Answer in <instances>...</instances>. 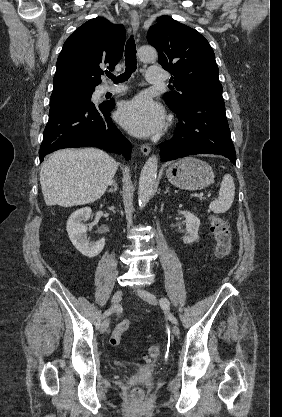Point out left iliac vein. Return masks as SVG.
Segmentation results:
<instances>
[{
	"label": "left iliac vein",
	"mask_w": 282,
	"mask_h": 417,
	"mask_svg": "<svg viewBox=\"0 0 282 417\" xmlns=\"http://www.w3.org/2000/svg\"><path fill=\"white\" fill-rule=\"evenodd\" d=\"M138 296L140 298H142L144 301L148 302L151 305H156L157 304V298L154 294L144 290V289H137L136 290ZM172 333L175 336H178L180 333L179 327L177 325H174L172 327Z\"/></svg>",
	"instance_id": "1"
}]
</instances>
